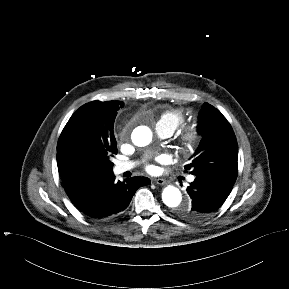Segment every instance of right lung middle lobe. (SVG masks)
Instances as JSON below:
<instances>
[{
	"label": "right lung middle lobe",
	"instance_id": "right-lung-middle-lobe-1",
	"mask_svg": "<svg viewBox=\"0 0 289 289\" xmlns=\"http://www.w3.org/2000/svg\"><path fill=\"white\" fill-rule=\"evenodd\" d=\"M120 101H92L81 106L64 127L57 150L70 166L88 173L112 170L117 153L113 132Z\"/></svg>",
	"mask_w": 289,
	"mask_h": 289
}]
</instances>
